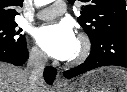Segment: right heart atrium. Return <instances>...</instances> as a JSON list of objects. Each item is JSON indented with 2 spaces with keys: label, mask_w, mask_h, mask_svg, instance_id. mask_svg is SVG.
<instances>
[{
  "label": "right heart atrium",
  "mask_w": 127,
  "mask_h": 92,
  "mask_svg": "<svg viewBox=\"0 0 127 92\" xmlns=\"http://www.w3.org/2000/svg\"><path fill=\"white\" fill-rule=\"evenodd\" d=\"M30 59L35 63H43L46 59L43 51L37 46L33 45L29 50Z\"/></svg>",
  "instance_id": "right-heart-atrium-1"
}]
</instances>
